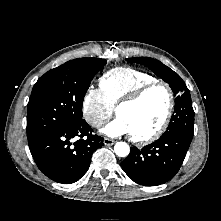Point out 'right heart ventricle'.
Instances as JSON below:
<instances>
[{
	"label": "right heart ventricle",
	"instance_id": "e07e8e85",
	"mask_svg": "<svg viewBox=\"0 0 221 221\" xmlns=\"http://www.w3.org/2000/svg\"><path fill=\"white\" fill-rule=\"evenodd\" d=\"M150 74L131 67H116L99 79V87L106 100L114 108L124 97L142 85L155 81Z\"/></svg>",
	"mask_w": 221,
	"mask_h": 221
}]
</instances>
